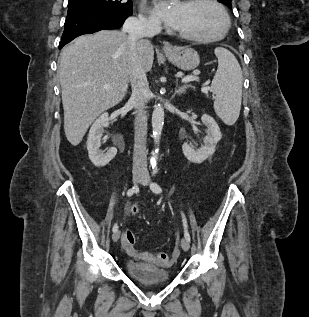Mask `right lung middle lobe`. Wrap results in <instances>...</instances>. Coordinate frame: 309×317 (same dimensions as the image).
<instances>
[{"label":"right lung middle lobe","instance_id":"dd1d6c3e","mask_svg":"<svg viewBox=\"0 0 309 317\" xmlns=\"http://www.w3.org/2000/svg\"><path fill=\"white\" fill-rule=\"evenodd\" d=\"M68 9H96L132 15V1L124 0H69Z\"/></svg>","mask_w":309,"mask_h":317}]
</instances>
